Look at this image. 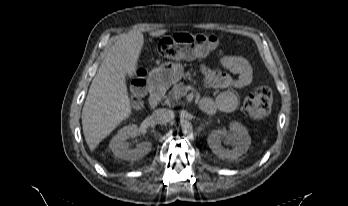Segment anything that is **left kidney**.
I'll return each instance as SVG.
<instances>
[{"instance_id":"obj_1","label":"left kidney","mask_w":348,"mask_h":206,"mask_svg":"<svg viewBox=\"0 0 348 206\" xmlns=\"http://www.w3.org/2000/svg\"><path fill=\"white\" fill-rule=\"evenodd\" d=\"M225 144L233 146L232 149L222 146V139ZM207 143L212 152L221 159H237L247 152L251 145V137L247 129L239 122H233L229 131L215 130L207 138Z\"/></svg>"}]
</instances>
